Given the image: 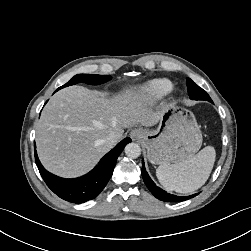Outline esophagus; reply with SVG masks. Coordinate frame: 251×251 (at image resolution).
<instances>
[{"label": "esophagus", "mask_w": 251, "mask_h": 251, "mask_svg": "<svg viewBox=\"0 0 251 251\" xmlns=\"http://www.w3.org/2000/svg\"><path fill=\"white\" fill-rule=\"evenodd\" d=\"M130 136L133 140H136L143 136V131L141 129L135 128L130 132Z\"/></svg>", "instance_id": "esophagus-1"}]
</instances>
